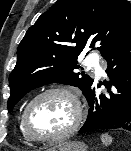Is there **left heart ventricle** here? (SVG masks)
I'll use <instances>...</instances> for the list:
<instances>
[{
    "mask_svg": "<svg viewBox=\"0 0 131 151\" xmlns=\"http://www.w3.org/2000/svg\"><path fill=\"white\" fill-rule=\"evenodd\" d=\"M73 118V106L62 95H48L38 100L28 114L30 131L40 137L56 135L65 130Z\"/></svg>",
    "mask_w": 131,
    "mask_h": 151,
    "instance_id": "b2bd125f",
    "label": "left heart ventricle"
}]
</instances>
